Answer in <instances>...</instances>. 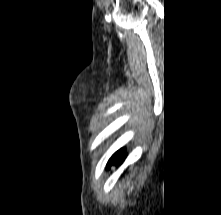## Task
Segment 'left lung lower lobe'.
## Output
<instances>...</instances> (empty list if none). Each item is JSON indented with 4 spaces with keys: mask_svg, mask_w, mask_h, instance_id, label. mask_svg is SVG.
Returning a JSON list of instances; mask_svg holds the SVG:
<instances>
[{
    "mask_svg": "<svg viewBox=\"0 0 221 215\" xmlns=\"http://www.w3.org/2000/svg\"><path fill=\"white\" fill-rule=\"evenodd\" d=\"M125 157H126V153H125L124 149L118 150L109 159V161L107 163V168H109L111 165L119 166L124 161Z\"/></svg>",
    "mask_w": 221,
    "mask_h": 215,
    "instance_id": "left-lung-lower-lobe-1",
    "label": "left lung lower lobe"
}]
</instances>
